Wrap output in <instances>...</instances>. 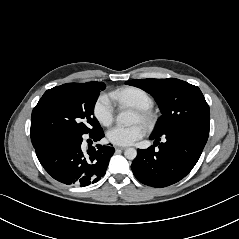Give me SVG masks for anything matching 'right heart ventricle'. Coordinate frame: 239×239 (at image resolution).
<instances>
[{"mask_svg": "<svg viewBox=\"0 0 239 239\" xmlns=\"http://www.w3.org/2000/svg\"><path fill=\"white\" fill-rule=\"evenodd\" d=\"M112 97L123 104H128L136 109L149 110L153 106V100L147 92L136 87H127L112 93Z\"/></svg>", "mask_w": 239, "mask_h": 239, "instance_id": "1", "label": "right heart ventricle"}]
</instances>
